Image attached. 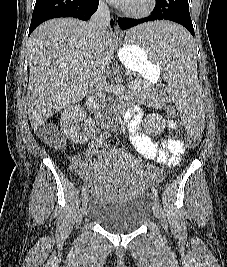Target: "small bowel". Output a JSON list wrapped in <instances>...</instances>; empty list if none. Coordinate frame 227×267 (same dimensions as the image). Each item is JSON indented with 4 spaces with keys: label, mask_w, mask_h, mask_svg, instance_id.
Returning a JSON list of instances; mask_svg holds the SVG:
<instances>
[{
    "label": "small bowel",
    "mask_w": 227,
    "mask_h": 267,
    "mask_svg": "<svg viewBox=\"0 0 227 267\" xmlns=\"http://www.w3.org/2000/svg\"><path fill=\"white\" fill-rule=\"evenodd\" d=\"M124 120L129 128L133 144L143 157L156 161L167 167L176 166L181 161L185 152L181 139L171 136L164 138L159 142L153 141L149 135L140 130L142 125V115L138 110H134L127 114L124 117ZM168 128L170 130L175 129L173 121H169ZM85 165L86 161L80 157L74 162L76 172L90 179L89 189L93 194L101 197H115L118 195V187L101 182V172L99 170L88 172Z\"/></svg>",
    "instance_id": "obj_1"
}]
</instances>
